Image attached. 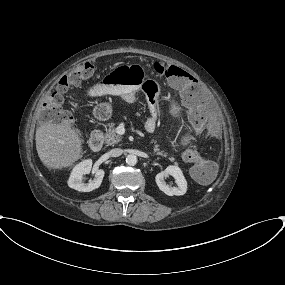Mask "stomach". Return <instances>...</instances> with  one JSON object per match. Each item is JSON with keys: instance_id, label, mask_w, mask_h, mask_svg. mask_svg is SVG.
Segmentation results:
<instances>
[{"instance_id": "stomach-1", "label": "stomach", "mask_w": 285, "mask_h": 285, "mask_svg": "<svg viewBox=\"0 0 285 285\" xmlns=\"http://www.w3.org/2000/svg\"><path fill=\"white\" fill-rule=\"evenodd\" d=\"M94 117L99 121H106L112 116V107L109 103L98 104L93 110Z\"/></svg>"}]
</instances>
